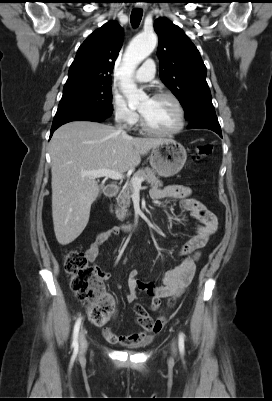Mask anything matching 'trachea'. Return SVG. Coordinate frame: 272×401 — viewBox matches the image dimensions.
Masks as SVG:
<instances>
[{"mask_svg": "<svg viewBox=\"0 0 272 401\" xmlns=\"http://www.w3.org/2000/svg\"><path fill=\"white\" fill-rule=\"evenodd\" d=\"M142 15H143V11L140 8H135L133 9L132 13H131V24L133 27H138L140 24V21L142 19Z\"/></svg>", "mask_w": 272, "mask_h": 401, "instance_id": "1", "label": "trachea"}]
</instances>
